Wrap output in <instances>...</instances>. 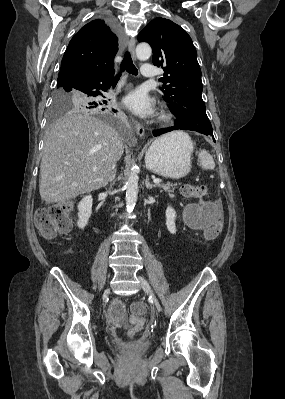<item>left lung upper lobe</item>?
I'll return each instance as SVG.
<instances>
[{
  "label": "left lung upper lobe",
  "mask_w": 285,
  "mask_h": 399,
  "mask_svg": "<svg viewBox=\"0 0 285 399\" xmlns=\"http://www.w3.org/2000/svg\"><path fill=\"white\" fill-rule=\"evenodd\" d=\"M153 50V63L163 67L161 90L176 116V126L183 130L213 135L202 99L201 69L190 36L177 24L155 18L138 35Z\"/></svg>",
  "instance_id": "5c2ea615"
}]
</instances>
